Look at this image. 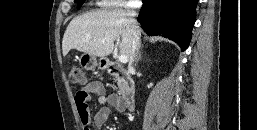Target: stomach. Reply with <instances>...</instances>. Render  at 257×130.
<instances>
[{
  "instance_id": "stomach-1",
  "label": "stomach",
  "mask_w": 257,
  "mask_h": 130,
  "mask_svg": "<svg viewBox=\"0 0 257 130\" xmlns=\"http://www.w3.org/2000/svg\"><path fill=\"white\" fill-rule=\"evenodd\" d=\"M80 61L87 70H93L97 66L100 69H102L105 67V64H106V59L104 57L100 58L98 61L94 55H91L89 53H83L80 58Z\"/></svg>"
}]
</instances>
